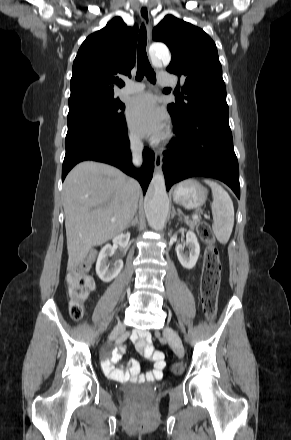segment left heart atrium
Masks as SVG:
<instances>
[{"instance_id": "left-heart-atrium-1", "label": "left heart atrium", "mask_w": 291, "mask_h": 440, "mask_svg": "<svg viewBox=\"0 0 291 440\" xmlns=\"http://www.w3.org/2000/svg\"><path fill=\"white\" fill-rule=\"evenodd\" d=\"M126 116L132 130L141 136H161L166 129L165 112L148 94L133 98L128 104Z\"/></svg>"}]
</instances>
